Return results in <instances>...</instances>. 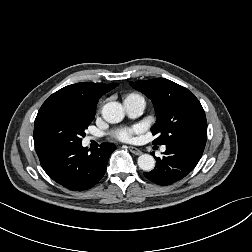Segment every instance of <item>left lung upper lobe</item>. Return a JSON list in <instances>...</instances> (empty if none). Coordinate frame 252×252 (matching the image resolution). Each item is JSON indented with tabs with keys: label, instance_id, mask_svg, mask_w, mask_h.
I'll list each match as a JSON object with an SVG mask.
<instances>
[{
	"label": "left lung upper lobe",
	"instance_id": "left-lung-upper-lobe-1",
	"mask_svg": "<svg viewBox=\"0 0 252 252\" xmlns=\"http://www.w3.org/2000/svg\"><path fill=\"white\" fill-rule=\"evenodd\" d=\"M130 85L151 99L155 106L157 122L151 131L158 137L154 144L168 145L180 141L206 144L205 112L188 89L165 78L131 81Z\"/></svg>",
	"mask_w": 252,
	"mask_h": 252
}]
</instances>
